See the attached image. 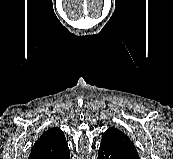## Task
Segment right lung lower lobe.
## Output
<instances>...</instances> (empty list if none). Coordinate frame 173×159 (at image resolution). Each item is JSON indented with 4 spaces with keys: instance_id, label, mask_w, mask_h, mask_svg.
Returning a JSON list of instances; mask_svg holds the SVG:
<instances>
[{
    "instance_id": "1",
    "label": "right lung lower lobe",
    "mask_w": 173,
    "mask_h": 159,
    "mask_svg": "<svg viewBox=\"0 0 173 159\" xmlns=\"http://www.w3.org/2000/svg\"><path fill=\"white\" fill-rule=\"evenodd\" d=\"M54 159H70L69 149L63 152L62 154L56 156Z\"/></svg>"
}]
</instances>
